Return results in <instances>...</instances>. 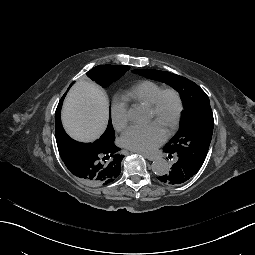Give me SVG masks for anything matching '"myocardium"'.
Masks as SVG:
<instances>
[{"label":"myocardium","mask_w":255,"mask_h":255,"mask_svg":"<svg viewBox=\"0 0 255 255\" xmlns=\"http://www.w3.org/2000/svg\"><path fill=\"white\" fill-rule=\"evenodd\" d=\"M166 94H172L175 99V112L173 116L172 127L166 135L167 138H170L176 133L179 126L180 116L183 108L180 93L175 88L172 87L161 88L154 96L152 102L149 104V109L153 114L152 123H156L159 119L162 98Z\"/></svg>","instance_id":"obj_1"}]
</instances>
